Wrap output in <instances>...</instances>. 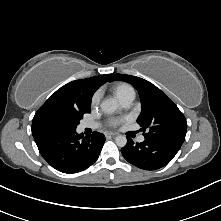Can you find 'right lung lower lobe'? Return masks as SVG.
<instances>
[{"label": "right lung lower lobe", "mask_w": 221, "mask_h": 221, "mask_svg": "<svg viewBox=\"0 0 221 221\" xmlns=\"http://www.w3.org/2000/svg\"><path fill=\"white\" fill-rule=\"evenodd\" d=\"M105 137L93 132L83 137L76 130L48 135L36 141L42 157L56 170L72 174L90 167L99 157Z\"/></svg>", "instance_id": "1"}]
</instances>
